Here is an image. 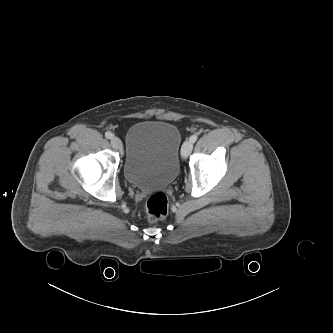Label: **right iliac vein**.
Returning a JSON list of instances; mask_svg holds the SVG:
<instances>
[{"instance_id":"obj_1","label":"right iliac vein","mask_w":333,"mask_h":333,"mask_svg":"<svg viewBox=\"0 0 333 333\" xmlns=\"http://www.w3.org/2000/svg\"><path fill=\"white\" fill-rule=\"evenodd\" d=\"M111 146L116 150L122 149V142L118 137H113L111 139Z\"/></svg>"}]
</instances>
